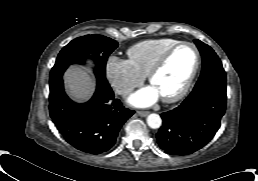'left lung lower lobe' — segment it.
I'll return each mask as SVG.
<instances>
[{"label":"left lung lower lobe","instance_id":"obj_1","mask_svg":"<svg viewBox=\"0 0 258 181\" xmlns=\"http://www.w3.org/2000/svg\"><path fill=\"white\" fill-rule=\"evenodd\" d=\"M226 81H208L194 88L175 109L161 114L156 134L162 150L188 155L205 146L216 134L226 108Z\"/></svg>","mask_w":258,"mask_h":181}]
</instances>
